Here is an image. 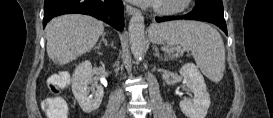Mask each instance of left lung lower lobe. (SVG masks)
<instances>
[{"label": "left lung lower lobe", "instance_id": "1", "mask_svg": "<svg viewBox=\"0 0 273 118\" xmlns=\"http://www.w3.org/2000/svg\"><path fill=\"white\" fill-rule=\"evenodd\" d=\"M182 19H188V20H200L205 21L209 23H213L221 28V30L224 31V33L227 35V27L224 20V16L210 13L206 11H197L194 10L186 15L182 16H170V17H156V21L158 23L165 22V21H171V20H182Z\"/></svg>", "mask_w": 273, "mask_h": 118}]
</instances>
